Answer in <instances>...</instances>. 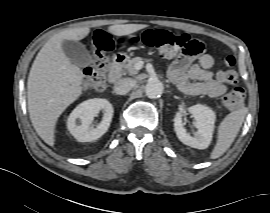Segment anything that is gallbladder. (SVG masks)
<instances>
[{
	"label": "gallbladder",
	"mask_w": 270,
	"mask_h": 213,
	"mask_svg": "<svg viewBox=\"0 0 270 213\" xmlns=\"http://www.w3.org/2000/svg\"><path fill=\"white\" fill-rule=\"evenodd\" d=\"M62 50L70 62L79 67H86L90 64L92 57L85 46L72 40H64L61 44Z\"/></svg>",
	"instance_id": "obj_1"
}]
</instances>
